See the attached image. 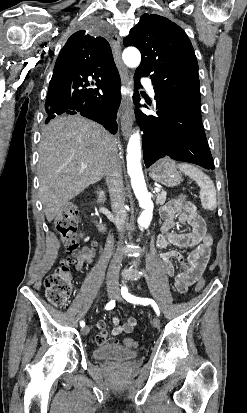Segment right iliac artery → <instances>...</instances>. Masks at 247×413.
<instances>
[{"label":"right iliac artery","instance_id":"82829eb1","mask_svg":"<svg viewBox=\"0 0 247 413\" xmlns=\"http://www.w3.org/2000/svg\"><path fill=\"white\" fill-rule=\"evenodd\" d=\"M115 307V300H111L109 303L106 304L105 309L106 310H111ZM80 326L84 327L85 326V322L84 321H80Z\"/></svg>","mask_w":247,"mask_h":413}]
</instances>
